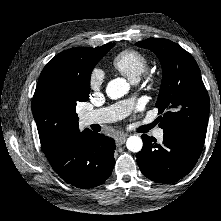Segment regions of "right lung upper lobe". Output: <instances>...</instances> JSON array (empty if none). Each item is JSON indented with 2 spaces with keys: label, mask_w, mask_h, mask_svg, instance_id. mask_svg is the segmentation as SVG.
<instances>
[{
  "label": "right lung upper lobe",
  "mask_w": 221,
  "mask_h": 221,
  "mask_svg": "<svg viewBox=\"0 0 221 221\" xmlns=\"http://www.w3.org/2000/svg\"><path fill=\"white\" fill-rule=\"evenodd\" d=\"M103 48L104 45L65 50L42 70L32 100V113L44 152L71 131L78 130L74 77Z\"/></svg>",
  "instance_id": "cb5924a9"
}]
</instances>
